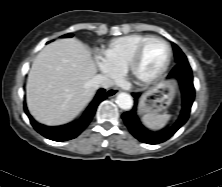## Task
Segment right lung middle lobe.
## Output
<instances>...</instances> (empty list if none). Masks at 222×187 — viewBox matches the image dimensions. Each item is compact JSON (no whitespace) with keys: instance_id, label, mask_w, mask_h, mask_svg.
<instances>
[{"instance_id":"1","label":"right lung middle lobe","mask_w":222,"mask_h":187,"mask_svg":"<svg viewBox=\"0 0 222 187\" xmlns=\"http://www.w3.org/2000/svg\"><path fill=\"white\" fill-rule=\"evenodd\" d=\"M73 34H66V35H63L62 38H67V37H72Z\"/></svg>"}]
</instances>
